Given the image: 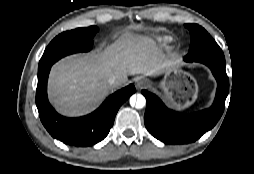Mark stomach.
Segmentation results:
<instances>
[{
    "label": "stomach",
    "instance_id": "0dacf381",
    "mask_svg": "<svg viewBox=\"0 0 254 174\" xmlns=\"http://www.w3.org/2000/svg\"><path fill=\"white\" fill-rule=\"evenodd\" d=\"M166 98L178 109L191 106L198 96L196 79L178 67H170L160 83Z\"/></svg>",
    "mask_w": 254,
    "mask_h": 174
}]
</instances>
